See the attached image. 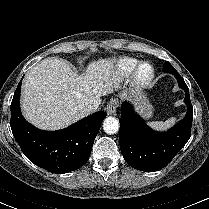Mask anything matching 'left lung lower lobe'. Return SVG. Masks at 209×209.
I'll return each instance as SVG.
<instances>
[{"label": "left lung lower lobe", "mask_w": 209, "mask_h": 209, "mask_svg": "<svg viewBox=\"0 0 209 209\" xmlns=\"http://www.w3.org/2000/svg\"><path fill=\"white\" fill-rule=\"evenodd\" d=\"M179 87L185 91L184 102L188 111L183 120L167 132L150 129L142 118L134 113L129 102L121 106L119 143L125 161L141 171H157L164 168L184 147L191 136L193 106L189 89L178 72H174Z\"/></svg>", "instance_id": "obj_1"}]
</instances>
